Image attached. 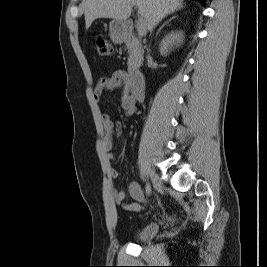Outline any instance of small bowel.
I'll return each mask as SVG.
<instances>
[{"mask_svg": "<svg viewBox=\"0 0 267 267\" xmlns=\"http://www.w3.org/2000/svg\"><path fill=\"white\" fill-rule=\"evenodd\" d=\"M121 90V108L125 115L131 116L136 110V100L132 97L131 80L129 75L124 70H116L112 75L102 77L97 83L94 89V98L99 100L104 91ZM102 126L104 131V137L102 140V147L106 153L109 161H115L117 159L116 154L113 152L114 134L121 132V124L112 121L107 113H102ZM109 175L115 179L119 173L115 168H110ZM130 196L136 201L133 203H125L126 193L122 190L114 192V201L117 204H121L127 211L139 212L142 209L141 203L147 201L141 186L137 182H131L128 186Z\"/></svg>", "mask_w": 267, "mask_h": 267, "instance_id": "c3829d8e", "label": "small bowel"}]
</instances>
